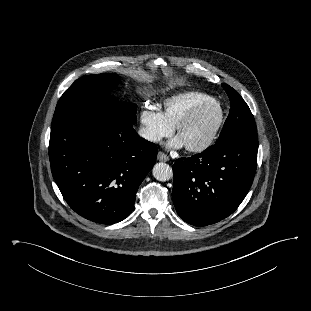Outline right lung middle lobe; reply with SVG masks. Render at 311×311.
Listing matches in <instances>:
<instances>
[{
  "mask_svg": "<svg viewBox=\"0 0 311 311\" xmlns=\"http://www.w3.org/2000/svg\"><path fill=\"white\" fill-rule=\"evenodd\" d=\"M118 81L116 74L84 76L61 96L52 120V128L83 119L119 117L136 123V104L116 105L108 91Z\"/></svg>",
  "mask_w": 311,
  "mask_h": 311,
  "instance_id": "obj_1",
  "label": "right lung middle lobe"
}]
</instances>
